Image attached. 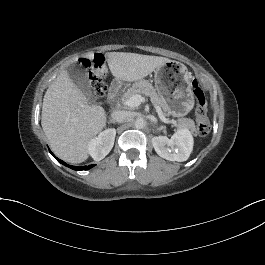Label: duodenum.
Here are the masks:
<instances>
[{
  "label": "duodenum",
  "mask_w": 265,
  "mask_h": 265,
  "mask_svg": "<svg viewBox=\"0 0 265 265\" xmlns=\"http://www.w3.org/2000/svg\"><path fill=\"white\" fill-rule=\"evenodd\" d=\"M120 87H121V83L120 82L115 81V82L112 83V85L110 86V89H109V97H110V99H114L117 96V94H118V92L120 90Z\"/></svg>",
  "instance_id": "obj_1"
}]
</instances>
